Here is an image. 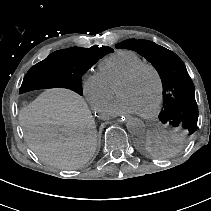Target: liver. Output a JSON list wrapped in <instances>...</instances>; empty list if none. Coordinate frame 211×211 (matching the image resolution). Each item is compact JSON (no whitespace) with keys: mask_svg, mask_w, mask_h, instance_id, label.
Here are the masks:
<instances>
[{"mask_svg":"<svg viewBox=\"0 0 211 211\" xmlns=\"http://www.w3.org/2000/svg\"><path fill=\"white\" fill-rule=\"evenodd\" d=\"M28 146L62 169L85 164L96 147L94 119L83 98L64 89L45 91L20 110Z\"/></svg>","mask_w":211,"mask_h":211,"instance_id":"6515ba94","label":"liver"}]
</instances>
